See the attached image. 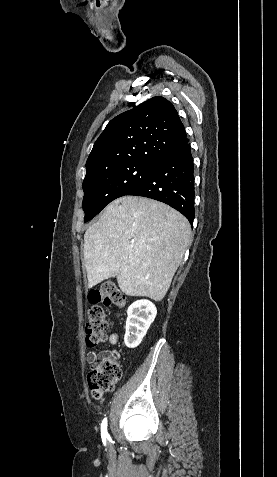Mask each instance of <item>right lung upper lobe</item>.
Listing matches in <instances>:
<instances>
[{
    "label": "right lung upper lobe",
    "instance_id": "cb5924a9",
    "mask_svg": "<svg viewBox=\"0 0 277 477\" xmlns=\"http://www.w3.org/2000/svg\"><path fill=\"white\" fill-rule=\"evenodd\" d=\"M188 142L172 103L155 96L107 124L88 157L86 172L131 162L155 164Z\"/></svg>",
    "mask_w": 277,
    "mask_h": 477
}]
</instances>
